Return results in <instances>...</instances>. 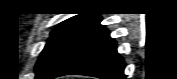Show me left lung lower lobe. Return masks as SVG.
<instances>
[{"label":"left lung lower lobe","mask_w":177,"mask_h":79,"mask_svg":"<svg viewBox=\"0 0 177 79\" xmlns=\"http://www.w3.org/2000/svg\"><path fill=\"white\" fill-rule=\"evenodd\" d=\"M124 67L116 42L109 37V31L99 25L73 46L49 79L70 74L125 79Z\"/></svg>","instance_id":"1"}]
</instances>
